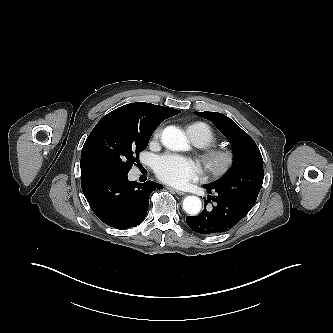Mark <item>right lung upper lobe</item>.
Segmentation results:
<instances>
[{
    "label": "right lung upper lobe",
    "mask_w": 333,
    "mask_h": 333,
    "mask_svg": "<svg viewBox=\"0 0 333 333\" xmlns=\"http://www.w3.org/2000/svg\"><path fill=\"white\" fill-rule=\"evenodd\" d=\"M177 109H171L159 105H154L145 102H137L119 107L106 116H122L139 126H153L157 127L159 124L172 116L179 114ZM89 177L81 173V179Z\"/></svg>",
    "instance_id": "obj_1"
}]
</instances>
